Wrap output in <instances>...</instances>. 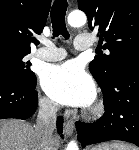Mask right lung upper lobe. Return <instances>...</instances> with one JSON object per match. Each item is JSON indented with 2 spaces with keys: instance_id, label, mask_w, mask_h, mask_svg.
<instances>
[{
  "instance_id": "obj_1",
  "label": "right lung upper lobe",
  "mask_w": 139,
  "mask_h": 150,
  "mask_svg": "<svg viewBox=\"0 0 139 150\" xmlns=\"http://www.w3.org/2000/svg\"><path fill=\"white\" fill-rule=\"evenodd\" d=\"M50 4L51 0H0V47L31 52L32 35L42 32Z\"/></svg>"
}]
</instances>
